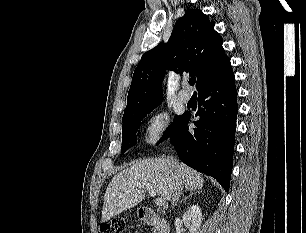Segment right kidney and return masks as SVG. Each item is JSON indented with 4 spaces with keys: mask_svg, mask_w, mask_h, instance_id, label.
<instances>
[{
    "mask_svg": "<svg viewBox=\"0 0 306 233\" xmlns=\"http://www.w3.org/2000/svg\"><path fill=\"white\" fill-rule=\"evenodd\" d=\"M202 220L203 216L198 205L190 206L183 215V222L190 233H198Z\"/></svg>",
    "mask_w": 306,
    "mask_h": 233,
    "instance_id": "ca27d5eb",
    "label": "right kidney"
}]
</instances>
